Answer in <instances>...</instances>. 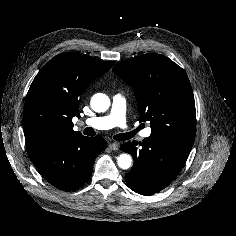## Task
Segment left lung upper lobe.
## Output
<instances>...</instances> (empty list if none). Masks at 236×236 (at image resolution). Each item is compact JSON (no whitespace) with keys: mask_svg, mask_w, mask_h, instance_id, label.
Returning <instances> with one entry per match:
<instances>
[{"mask_svg":"<svg viewBox=\"0 0 236 236\" xmlns=\"http://www.w3.org/2000/svg\"><path fill=\"white\" fill-rule=\"evenodd\" d=\"M113 72L134 90L139 121L151 136L194 143L195 102L186 72L163 55L145 54L118 62Z\"/></svg>","mask_w":236,"mask_h":236,"instance_id":"left-lung-upper-lobe-1","label":"left lung upper lobe"}]
</instances>
